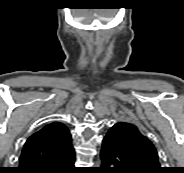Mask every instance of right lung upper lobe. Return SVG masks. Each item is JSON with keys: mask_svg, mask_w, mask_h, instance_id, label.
<instances>
[{"mask_svg": "<svg viewBox=\"0 0 184 173\" xmlns=\"http://www.w3.org/2000/svg\"><path fill=\"white\" fill-rule=\"evenodd\" d=\"M72 150L68 128L60 122H53L28 138L23 147L18 168L52 160Z\"/></svg>", "mask_w": 184, "mask_h": 173, "instance_id": "right-lung-upper-lobe-1", "label": "right lung upper lobe"}]
</instances>
